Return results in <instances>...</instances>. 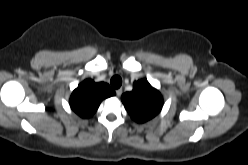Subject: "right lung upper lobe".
<instances>
[{"label": "right lung upper lobe", "instance_id": "obj_1", "mask_svg": "<svg viewBox=\"0 0 248 165\" xmlns=\"http://www.w3.org/2000/svg\"><path fill=\"white\" fill-rule=\"evenodd\" d=\"M115 92L104 82L95 83L91 79L84 80L71 94L70 106L82 118L92 116L101 101L114 96Z\"/></svg>", "mask_w": 248, "mask_h": 165}]
</instances>
